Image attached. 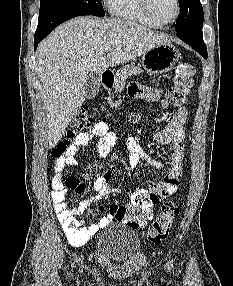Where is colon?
<instances>
[{
  "mask_svg": "<svg viewBox=\"0 0 233 286\" xmlns=\"http://www.w3.org/2000/svg\"><path fill=\"white\" fill-rule=\"evenodd\" d=\"M195 74V67L190 63L180 62L175 68L174 86L166 94L164 106L182 107L186 103L187 96L192 87V78ZM94 123V116L87 107H82L73 119L64 138L52 150L55 159L61 158L69 149L71 141L82 131L89 129ZM65 187L75 192L85 190L76 177L70 176L65 181ZM180 213V205L176 201H168L161 205L160 213L146 231L147 238L154 244H160L170 234L176 217ZM128 219L134 226H140L143 220V212L138 205H134L128 211Z\"/></svg>",
  "mask_w": 233,
  "mask_h": 286,
  "instance_id": "5ec220e1",
  "label": "colon"
}]
</instances>
